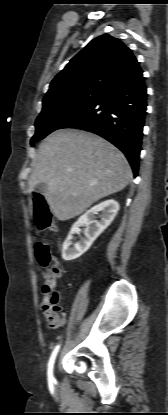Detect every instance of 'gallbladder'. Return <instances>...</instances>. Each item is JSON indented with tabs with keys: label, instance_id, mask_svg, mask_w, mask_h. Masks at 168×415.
Wrapping results in <instances>:
<instances>
[{
	"label": "gallbladder",
	"instance_id": "gallbladder-1",
	"mask_svg": "<svg viewBox=\"0 0 168 415\" xmlns=\"http://www.w3.org/2000/svg\"><path fill=\"white\" fill-rule=\"evenodd\" d=\"M37 189L40 190L41 192H46L47 190V185L44 183L38 184L37 185Z\"/></svg>",
	"mask_w": 168,
	"mask_h": 415
}]
</instances>
